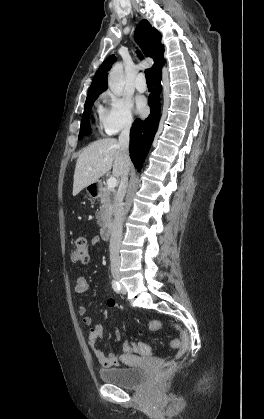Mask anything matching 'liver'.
<instances>
[{"label": "liver", "instance_id": "liver-1", "mask_svg": "<svg viewBox=\"0 0 264 419\" xmlns=\"http://www.w3.org/2000/svg\"><path fill=\"white\" fill-rule=\"evenodd\" d=\"M113 167V176L121 178L131 161L123 158L119 142L114 138L100 139L90 144L78 157L73 182V196L98 181Z\"/></svg>", "mask_w": 264, "mask_h": 419}]
</instances>
